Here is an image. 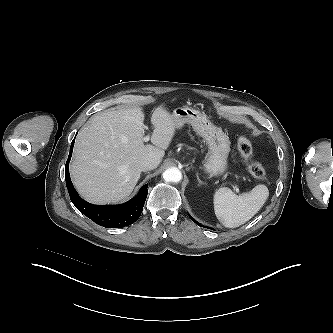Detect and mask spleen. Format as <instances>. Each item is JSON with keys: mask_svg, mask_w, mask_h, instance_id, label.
<instances>
[{"mask_svg": "<svg viewBox=\"0 0 333 333\" xmlns=\"http://www.w3.org/2000/svg\"><path fill=\"white\" fill-rule=\"evenodd\" d=\"M268 196V188L261 184L239 196L227 187L219 188L213 198L215 215L225 227H239L262 208Z\"/></svg>", "mask_w": 333, "mask_h": 333, "instance_id": "3e777b00", "label": "spleen"}]
</instances>
